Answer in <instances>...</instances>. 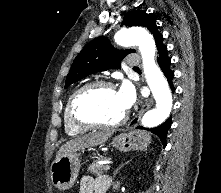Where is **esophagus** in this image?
<instances>
[{
    "label": "esophagus",
    "instance_id": "1",
    "mask_svg": "<svg viewBox=\"0 0 221 193\" xmlns=\"http://www.w3.org/2000/svg\"><path fill=\"white\" fill-rule=\"evenodd\" d=\"M153 99L152 97L149 98L141 107L137 115L133 118V120L130 122L129 126L130 128L136 126L141 119L142 115L152 106Z\"/></svg>",
    "mask_w": 221,
    "mask_h": 193
}]
</instances>
